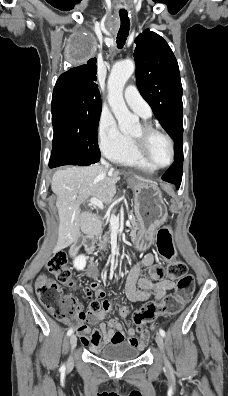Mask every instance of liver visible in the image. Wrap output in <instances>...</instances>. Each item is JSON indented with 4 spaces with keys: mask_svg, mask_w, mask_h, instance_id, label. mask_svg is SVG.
Segmentation results:
<instances>
[{
    "mask_svg": "<svg viewBox=\"0 0 228 396\" xmlns=\"http://www.w3.org/2000/svg\"><path fill=\"white\" fill-rule=\"evenodd\" d=\"M119 171L108 170L99 164L72 166L55 172L51 189L57 196L59 215L57 252L75 242L81 232L87 236L98 235L100 222L96 215L81 211V204L89 198H97L109 205L116 193ZM136 179L150 182L138 176Z\"/></svg>",
    "mask_w": 228,
    "mask_h": 396,
    "instance_id": "6515ba94",
    "label": "liver"
}]
</instances>
